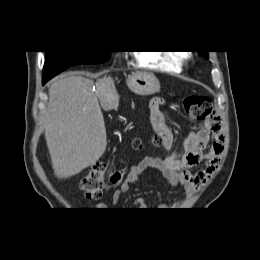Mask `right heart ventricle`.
<instances>
[{"mask_svg": "<svg viewBox=\"0 0 260 260\" xmlns=\"http://www.w3.org/2000/svg\"><path fill=\"white\" fill-rule=\"evenodd\" d=\"M137 61L148 67L157 68L167 72H180L186 61V57L177 53H151L140 52L136 55Z\"/></svg>", "mask_w": 260, "mask_h": 260, "instance_id": "e07e8e85", "label": "right heart ventricle"}]
</instances>
